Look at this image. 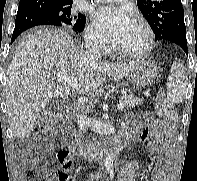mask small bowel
I'll return each mask as SVG.
<instances>
[{"label":"small bowel","instance_id":"c3829d8e","mask_svg":"<svg viewBox=\"0 0 197 181\" xmlns=\"http://www.w3.org/2000/svg\"><path fill=\"white\" fill-rule=\"evenodd\" d=\"M129 122L131 130L123 134L129 140L141 142L145 154L160 155V160L149 170L144 168L141 160H131L122 170L119 181H138L143 172L148 173L146 181H170L174 159V127L155 119L148 112L131 118Z\"/></svg>","mask_w":197,"mask_h":181}]
</instances>
